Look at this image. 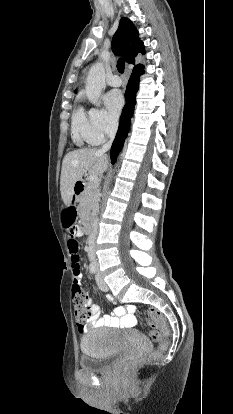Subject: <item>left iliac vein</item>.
<instances>
[{"label": "left iliac vein", "mask_w": 233, "mask_h": 414, "mask_svg": "<svg viewBox=\"0 0 233 414\" xmlns=\"http://www.w3.org/2000/svg\"><path fill=\"white\" fill-rule=\"evenodd\" d=\"M96 282H97L99 289H101L102 291H108V285L106 284L100 272L98 271V267H97Z\"/></svg>", "instance_id": "left-iliac-vein-1"}]
</instances>
